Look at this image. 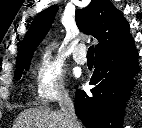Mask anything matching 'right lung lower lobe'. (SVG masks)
Returning a JSON list of instances; mask_svg holds the SVG:
<instances>
[{"mask_svg":"<svg viewBox=\"0 0 142 128\" xmlns=\"http://www.w3.org/2000/svg\"><path fill=\"white\" fill-rule=\"evenodd\" d=\"M134 40L120 49L96 56L95 70L89 82L96 85L92 95L77 91L75 111L88 128H122L124 106L138 73Z\"/></svg>","mask_w":142,"mask_h":128,"instance_id":"1","label":"right lung lower lobe"}]
</instances>
